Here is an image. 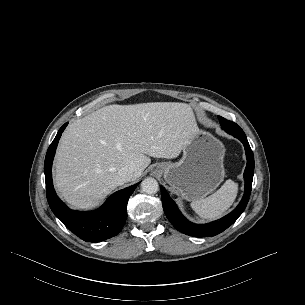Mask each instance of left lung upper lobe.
Returning a JSON list of instances; mask_svg holds the SVG:
<instances>
[{"mask_svg": "<svg viewBox=\"0 0 305 305\" xmlns=\"http://www.w3.org/2000/svg\"><path fill=\"white\" fill-rule=\"evenodd\" d=\"M222 128L231 135H238V136H245V133L243 130L234 122H231L229 120H226L223 117L218 116Z\"/></svg>", "mask_w": 305, "mask_h": 305, "instance_id": "5c2ea615", "label": "left lung upper lobe"}]
</instances>
